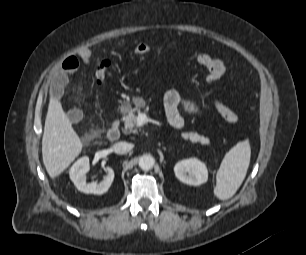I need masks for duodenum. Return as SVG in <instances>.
Returning <instances> with one entry per match:
<instances>
[{"instance_id": "410a0bca", "label": "duodenum", "mask_w": 306, "mask_h": 255, "mask_svg": "<svg viewBox=\"0 0 306 255\" xmlns=\"http://www.w3.org/2000/svg\"><path fill=\"white\" fill-rule=\"evenodd\" d=\"M120 125L117 120H115L107 132V137L110 141H117L120 138Z\"/></svg>"}]
</instances>
